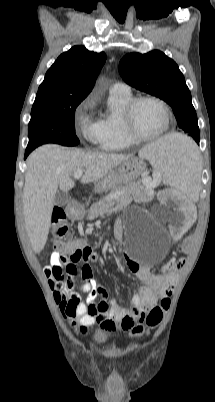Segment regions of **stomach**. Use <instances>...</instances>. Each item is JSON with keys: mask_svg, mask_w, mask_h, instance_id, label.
Instances as JSON below:
<instances>
[{"mask_svg": "<svg viewBox=\"0 0 215 402\" xmlns=\"http://www.w3.org/2000/svg\"><path fill=\"white\" fill-rule=\"evenodd\" d=\"M145 168L143 160L129 157L101 179L95 190L103 192L129 185L140 177Z\"/></svg>", "mask_w": 215, "mask_h": 402, "instance_id": "obj_1", "label": "stomach"}]
</instances>
